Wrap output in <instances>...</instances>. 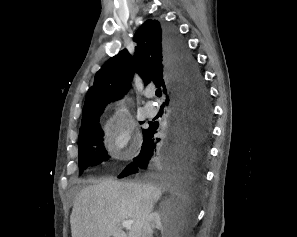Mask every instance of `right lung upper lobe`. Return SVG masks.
<instances>
[{
    "label": "right lung upper lobe",
    "mask_w": 297,
    "mask_h": 237,
    "mask_svg": "<svg viewBox=\"0 0 297 237\" xmlns=\"http://www.w3.org/2000/svg\"><path fill=\"white\" fill-rule=\"evenodd\" d=\"M163 25L156 20H147L135 34L134 57L124 49L96 73L94 85L86 95L80 132L99 122V116L109 101L121 99L127 93L134 71L146 84L154 81L156 86H162L165 94L171 89Z\"/></svg>",
    "instance_id": "obj_1"
}]
</instances>
